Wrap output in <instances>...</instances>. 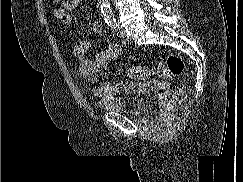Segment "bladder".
<instances>
[{"instance_id": "bladder-1", "label": "bladder", "mask_w": 243, "mask_h": 182, "mask_svg": "<svg viewBox=\"0 0 243 182\" xmlns=\"http://www.w3.org/2000/svg\"><path fill=\"white\" fill-rule=\"evenodd\" d=\"M98 107L104 112H118L131 115H139L146 108L145 99L136 91L128 95H114L101 99Z\"/></svg>"}]
</instances>
